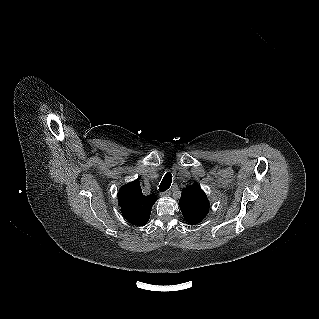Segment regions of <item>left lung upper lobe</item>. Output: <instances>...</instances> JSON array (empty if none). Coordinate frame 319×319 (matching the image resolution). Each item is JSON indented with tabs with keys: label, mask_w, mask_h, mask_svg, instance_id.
<instances>
[{
	"label": "left lung upper lobe",
	"mask_w": 319,
	"mask_h": 319,
	"mask_svg": "<svg viewBox=\"0 0 319 319\" xmlns=\"http://www.w3.org/2000/svg\"><path fill=\"white\" fill-rule=\"evenodd\" d=\"M179 206L184 218L189 224H198L209 211V201L197 184L188 186L182 190Z\"/></svg>",
	"instance_id": "left-lung-upper-lobe-1"
}]
</instances>
